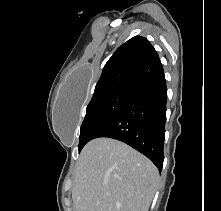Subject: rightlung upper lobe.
<instances>
[{
  "label": "right lung upper lobe",
  "instance_id": "1",
  "mask_svg": "<svg viewBox=\"0 0 221 211\" xmlns=\"http://www.w3.org/2000/svg\"><path fill=\"white\" fill-rule=\"evenodd\" d=\"M163 76L156 50L147 39L135 36L120 46L108 60L93 96L117 88L136 89Z\"/></svg>",
  "mask_w": 221,
  "mask_h": 211
}]
</instances>
